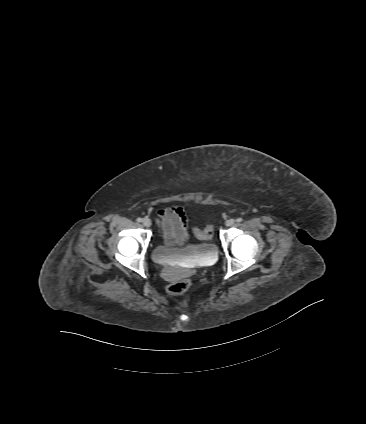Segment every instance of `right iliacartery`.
<instances>
[{"instance_id": "82829eb1", "label": "right iliac artery", "mask_w": 366, "mask_h": 424, "mask_svg": "<svg viewBox=\"0 0 366 424\" xmlns=\"http://www.w3.org/2000/svg\"><path fill=\"white\" fill-rule=\"evenodd\" d=\"M137 221H138V222H142V219H141V218H137Z\"/></svg>"}]
</instances>
